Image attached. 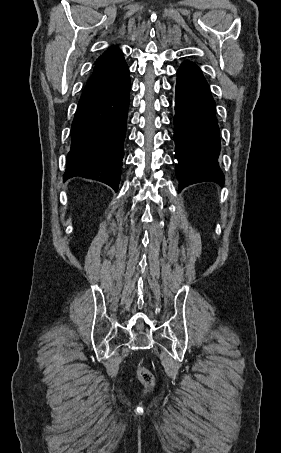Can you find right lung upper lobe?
Returning <instances> with one entry per match:
<instances>
[{
	"label": "right lung upper lobe",
	"mask_w": 281,
	"mask_h": 453,
	"mask_svg": "<svg viewBox=\"0 0 281 453\" xmlns=\"http://www.w3.org/2000/svg\"><path fill=\"white\" fill-rule=\"evenodd\" d=\"M120 52V49L118 47H110L106 52H104L95 62V65L96 64H99L111 57H113L114 55L118 54Z\"/></svg>",
	"instance_id": "right-lung-upper-lobe-1"
}]
</instances>
